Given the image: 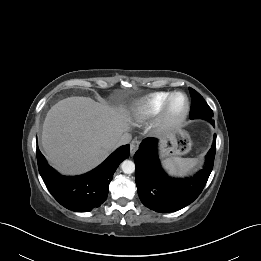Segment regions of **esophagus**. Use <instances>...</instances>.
Returning a JSON list of instances; mask_svg holds the SVG:
<instances>
[{"label": "esophagus", "instance_id": "obj_1", "mask_svg": "<svg viewBox=\"0 0 261 261\" xmlns=\"http://www.w3.org/2000/svg\"><path fill=\"white\" fill-rule=\"evenodd\" d=\"M138 146H139V142L137 140H133L131 143H130V153L131 155H134V153L137 151L138 149Z\"/></svg>", "mask_w": 261, "mask_h": 261}]
</instances>
